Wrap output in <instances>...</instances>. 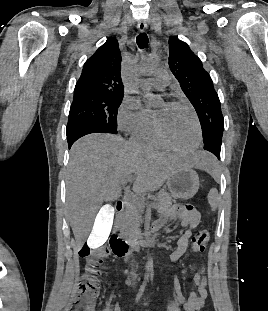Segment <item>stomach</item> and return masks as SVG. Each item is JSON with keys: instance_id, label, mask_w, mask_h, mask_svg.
<instances>
[{"instance_id": "obj_1", "label": "stomach", "mask_w": 268, "mask_h": 311, "mask_svg": "<svg viewBox=\"0 0 268 311\" xmlns=\"http://www.w3.org/2000/svg\"><path fill=\"white\" fill-rule=\"evenodd\" d=\"M199 185V176L190 166L176 169L167 179L171 195L184 200L192 198L197 193Z\"/></svg>"}]
</instances>
